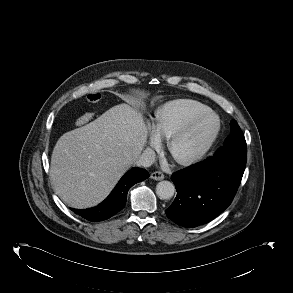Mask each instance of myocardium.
Masks as SVG:
<instances>
[{
	"label": "myocardium",
	"instance_id": "f54148a6",
	"mask_svg": "<svg viewBox=\"0 0 293 293\" xmlns=\"http://www.w3.org/2000/svg\"><path fill=\"white\" fill-rule=\"evenodd\" d=\"M211 119L213 121V128L201 146V148L192 156L188 158L179 159L174 157L173 155V147L175 143L181 139L183 136H185L189 131H191L197 124L200 122ZM221 129V122L217 114H215L212 111H206L203 113H200L194 117H192L190 120H188L183 126H181L178 130H176L167 140V149L169 153L175 158V160L183 165V166H190L197 162H199L210 150L214 142L216 141L219 132Z\"/></svg>",
	"mask_w": 293,
	"mask_h": 293
}]
</instances>
